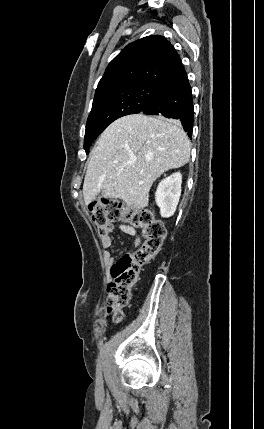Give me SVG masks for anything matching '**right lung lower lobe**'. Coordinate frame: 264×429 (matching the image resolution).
I'll list each match as a JSON object with an SVG mask.
<instances>
[{"label": "right lung lower lobe", "mask_w": 264, "mask_h": 429, "mask_svg": "<svg viewBox=\"0 0 264 429\" xmlns=\"http://www.w3.org/2000/svg\"><path fill=\"white\" fill-rule=\"evenodd\" d=\"M141 112L179 120L183 129L191 137L194 120L193 99L187 74L182 64L158 86Z\"/></svg>", "instance_id": "obj_1"}]
</instances>
